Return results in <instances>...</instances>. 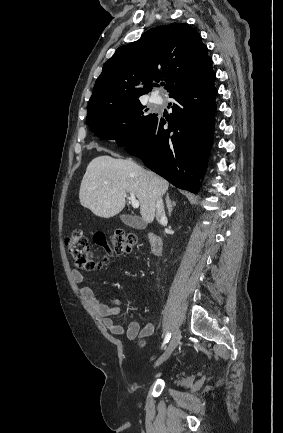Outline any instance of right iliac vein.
<instances>
[{"mask_svg": "<svg viewBox=\"0 0 283 433\" xmlns=\"http://www.w3.org/2000/svg\"><path fill=\"white\" fill-rule=\"evenodd\" d=\"M181 338V332L179 330V328H177L171 338V341L166 349V351L164 352V354L157 360L155 367L160 366L164 361H166L170 355L172 354V352L175 350V348L177 347L179 341Z\"/></svg>", "mask_w": 283, "mask_h": 433, "instance_id": "obj_1", "label": "right iliac vein"}]
</instances>
